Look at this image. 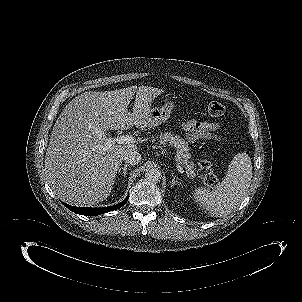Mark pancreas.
<instances>
[{
  "label": "pancreas",
  "mask_w": 302,
  "mask_h": 302,
  "mask_svg": "<svg viewBox=\"0 0 302 302\" xmlns=\"http://www.w3.org/2000/svg\"><path fill=\"white\" fill-rule=\"evenodd\" d=\"M159 142L162 145L173 146L177 151V155L179 156L178 162L185 168L187 175L191 178L196 176L192 156L189 152L190 148L185 139L178 135H174L171 132H161Z\"/></svg>",
  "instance_id": "cf45deb5"
}]
</instances>
